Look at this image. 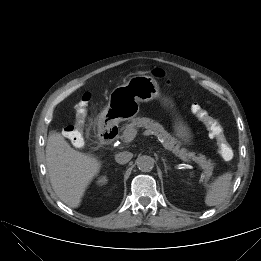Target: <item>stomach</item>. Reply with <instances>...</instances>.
Here are the masks:
<instances>
[{"label":"stomach","instance_id":"0dacf381","mask_svg":"<svg viewBox=\"0 0 261 261\" xmlns=\"http://www.w3.org/2000/svg\"><path fill=\"white\" fill-rule=\"evenodd\" d=\"M161 97L157 81L147 75L131 77L124 85L117 86L109 95L106 108L99 115V123L103 126L116 125L121 121L134 118L139 112L140 102H149ZM166 106L173 107L168 98L163 99ZM174 132L184 144H192L193 134L182 120L177 119Z\"/></svg>","mask_w":261,"mask_h":261}]
</instances>
